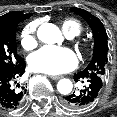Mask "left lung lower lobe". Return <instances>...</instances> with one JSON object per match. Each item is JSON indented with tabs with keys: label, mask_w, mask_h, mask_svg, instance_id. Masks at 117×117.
Listing matches in <instances>:
<instances>
[{
	"label": "left lung lower lobe",
	"mask_w": 117,
	"mask_h": 117,
	"mask_svg": "<svg viewBox=\"0 0 117 117\" xmlns=\"http://www.w3.org/2000/svg\"><path fill=\"white\" fill-rule=\"evenodd\" d=\"M74 80L86 81L84 89L80 93H73L64 97L63 104L68 108H83L90 106L98 97L103 86V78L94 72L81 71L74 75Z\"/></svg>",
	"instance_id": "left-lung-lower-lobe-1"
}]
</instances>
